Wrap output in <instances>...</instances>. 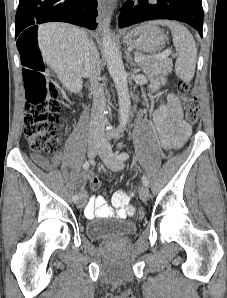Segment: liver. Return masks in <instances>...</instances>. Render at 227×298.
I'll use <instances>...</instances> for the list:
<instances>
[{"label":"liver","mask_w":227,"mask_h":298,"mask_svg":"<svg viewBox=\"0 0 227 298\" xmlns=\"http://www.w3.org/2000/svg\"><path fill=\"white\" fill-rule=\"evenodd\" d=\"M87 33L67 23H46L38 28V44L44 61L70 92L82 89L83 54Z\"/></svg>","instance_id":"obj_1"}]
</instances>
